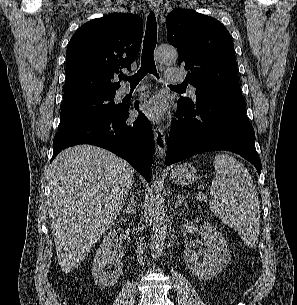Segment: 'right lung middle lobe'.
<instances>
[{
    "label": "right lung middle lobe",
    "mask_w": 297,
    "mask_h": 305,
    "mask_svg": "<svg viewBox=\"0 0 297 305\" xmlns=\"http://www.w3.org/2000/svg\"><path fill=\"white\" fill-rule=\"evenodd\" d=\"M115 93H94L63 101L58 131L92 115L115 113L123 106L115 104Z\"/></svg>",
    "instance_id": "1"
}]
</instances>
